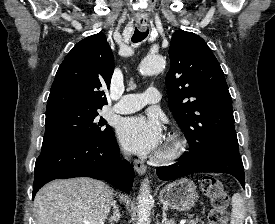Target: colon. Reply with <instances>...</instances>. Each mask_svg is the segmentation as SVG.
Wrapping results in <instances>:
<instances>
[{
  "label": "colon",
  "instance_id": "5ec220e1",
  "mask_svg": "<svg viewBox=\"0 0 275 224\" xmlns=\"http://www.w3.org/2000/svg\"><path fill=\"white\" fill-rule=\"evenodd\" d=\"M200 188L212 203L208 224H227L230 197L222 183L215 177L205 176L201 180Z\"/></svg>",
  "mask_w": 275,
  "mask_h": 224
}]
</instances>
